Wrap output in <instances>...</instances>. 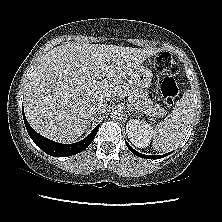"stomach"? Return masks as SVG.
I'll list each match as a JSON object with an SVG mask.
<instances>
[{
    "label": "stomach",
    "mask_w": 222,
    "mask_h": 222,
    "mask_svg": "<svg viewBox=\"0 0 222 222\" xmlns=\"http://www.w3.org/2000/svg\"><path fill=\"white\" fill-rule=\"evenodd\" d=\"M152 72L148 68L139 66L130 76L135 86L139 89H147L151 86Z\"/></svg>",
    "instance_id": "1"
}]
</instances>
